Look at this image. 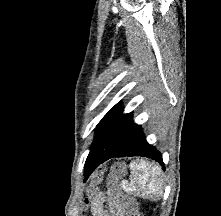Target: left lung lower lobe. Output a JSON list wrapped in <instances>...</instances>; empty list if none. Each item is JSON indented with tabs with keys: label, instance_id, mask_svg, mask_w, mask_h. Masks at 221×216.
<instances>
[{
	"label": "left lung lower lobe",
	"instance_id": "0a47b994",
	"mask_svg": "<svg viewBox=\"0 0 221 216\" xmlns=\"http://www.w3.org/2000/svg\"><path fill=\"white\" fill-rule=\"evenodd\" d=\"M126 156L148 157L164 166L161 153L155 147L147 143L143 130L140 129L135 137L132 138L120 151L114 152L112 149L107 147H99L97 149L90 150L85 163V180L100 164L108 159Z\"/></svg>",
	"mask_w": 221,
	"mask_h": 216
}]
</instances>
